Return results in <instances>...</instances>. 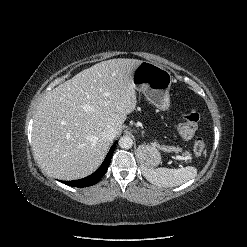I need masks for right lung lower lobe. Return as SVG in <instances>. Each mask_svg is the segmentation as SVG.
<instances>
[{"label": "right lung lower lobe", "instance_id": "right-lung-lower-lobe-1", "mask_svg": "<svg viewBox=\"0 0 247 247\" xmlns=\"http://www.w3.org/2000/svg\"><path fill=\"white\" fill-rule=\"evenodd\" d=\"M115 146H116V142L112 145L102 165L93 174L83 179L73 180V181H61V182L73 187H88L98 183L109 167Z\"/></svg>", "mask_w": 247, "mask_h": 247}]
</instances>
